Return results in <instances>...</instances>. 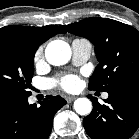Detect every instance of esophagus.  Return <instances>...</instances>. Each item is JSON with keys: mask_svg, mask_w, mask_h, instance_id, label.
Returning a JSON list of instances; mask_svg holds the SVG:
<instances>
[{"mask_svg": "<svg viewBox=\"0 0 139 139\" xmlns=\"http://www.w3.org/2000/svg\"><path fill=\"white\" fill-rule=\"evenodd\" d=\"M75 99H76V97H74V96H66V101H67L68 103L73 102Z\"/></svg>", "mask_w": 139, "mask_h": 139, "instance_id": "1", "label": "esophagus"}]
</instances>
